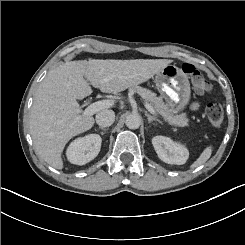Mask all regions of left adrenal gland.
<instances>
[{"label":"left adrenal gland","instance_id":"1","mask_svg":"<svg viewBox=\"0 0 245 245\" xmlns=\"http://www.w3.org/2000/svg\"><path fill=\"white\" fill-rule=\"evenodd\" d=\"M145 115L147 116L149 123H151L152 121H157L159 123H162V121H160L158 118H156L155 116H152V115L148 114L147 112L145 113Z\"/></svg>","mask_w":245,"mask_h":245}]
</instances>
